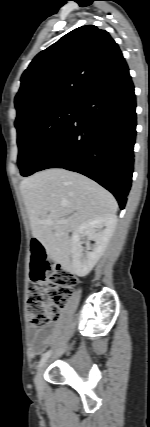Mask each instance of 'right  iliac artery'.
<instances>
[{
    "label": "right iliac artery",
    "instance_id": "right-iliac-artery-1",
    "mask_svg": "<svg viewBox=\"0 0 150 427\" xmlns=\"http://www.w3.org/2000/svg\"><path fill=\"white\" fill-rule=\"evenodd\" d=\"M50 354H51V351H48V352H46V353H44L42 355V358H41V360H40V362L38 364V368H40V367L43 366V364L46 362V360L48 359V357L50 356Z\"/></svg>",
    "mask_w": 150,
    "mask_h": 427
}]
</instances>
